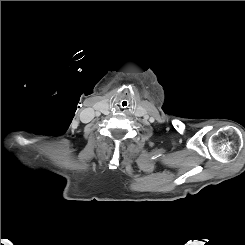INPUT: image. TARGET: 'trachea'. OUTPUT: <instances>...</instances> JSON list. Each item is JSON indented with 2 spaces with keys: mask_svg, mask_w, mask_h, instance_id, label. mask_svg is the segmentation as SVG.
I'll use <instances>...</instances> for the list:
<instances>
[{
  "mask_svg": "<svg viewBox=\"0 0 245 245\" xmlns=\"http://www.w3.org/2000/svg\"><path fill=\"white\" fill-rule=\"evenodd\" d=\"M119 106L122 108V109H126L128 108L129 106V101L127 99H123L121 100V102L119 103Z\"/></svg>",
  "mask_w": 245,
  "mask_h": 245,
  "instance_id": "obj_1",
  "label": "trachea"
}]
</instances>
